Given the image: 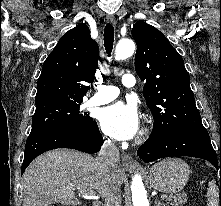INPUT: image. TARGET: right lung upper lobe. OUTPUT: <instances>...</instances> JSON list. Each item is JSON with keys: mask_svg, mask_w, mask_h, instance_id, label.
I'll use <instances>...</instances> for the list:
<instances>
[{"mask_svg": "<svg viewBox=\"0 0 221 206\" xmlns=\"http://www.w3.org/2000/svg\"><path fill=\"white\" fill-rule=\"evenodd\" d=\"M98 44L86 24L69 30L45 62L37 82L36 107L51 103H79L92 83L98 64Z\"/></svg>", "mask_w": 221, "mask_h": 206, "instance_id": "1", "label": "right lung upper lobe"}]
</instances>
